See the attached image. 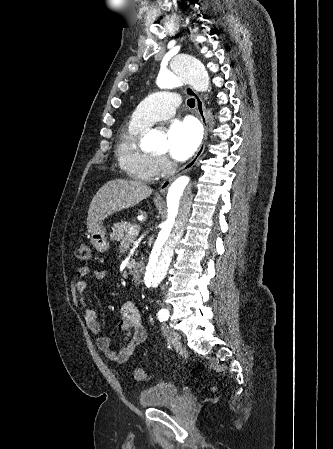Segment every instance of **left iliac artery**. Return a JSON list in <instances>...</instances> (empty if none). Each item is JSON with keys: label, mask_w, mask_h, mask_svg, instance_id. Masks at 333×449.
<instances>
[{"label": "left iliac artery", "mask_w": 333, "mask_h": 449, "mask_svg": "<svg viewBox=\"0 0 333 449\" xmlns=\"http://www.w3.org/2000/svg\"><path fill=\"white\" fill-rule=\"evenodd\" d=\"M168 317H169V312H168V310H166V309H161V310L158 312V319H159L160 322H163V321L167 320Z\"/></svg>", "instance_id": "obj_1"}]
</instances>
